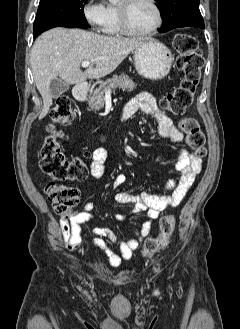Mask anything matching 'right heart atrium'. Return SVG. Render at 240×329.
<instances>
[{
  "instance_id": "d8ad5b80",
  "label": "right heart atrium",
  "mask_w": 240,
  "mask_h": 329,
  "mask_svg": "<svg viewBox=\"0 0 240 329\" xmlns=\"http://www.w3.org/2000/svg\"><path fill=\"white\" fill-rule=\"evenodd\" d=\"M83 14L94 30L102 29L106 20V7L102 1L87 0L83 7Z\"/></svg>"
}]
</instances>
